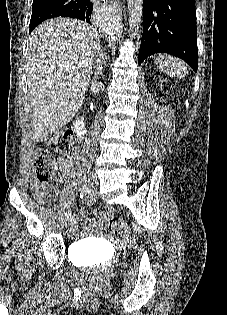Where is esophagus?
<instances>
[{
	"mask_svg": "<svg viewBox=\"0 0 227 315\" xmlns=\"http://www.w3.org/2000/svg\"><path fill=\"white\" fill-rule=\"evenodd\" d=\"M110 9H111V10H114V9L116 10L115 3H114V5H110Z\"/></svg>",
	"mask_w": 227,
	"mask_h": 315,
	"instance_id": "1",
	"label": "esophagus"
}]
</instances>
